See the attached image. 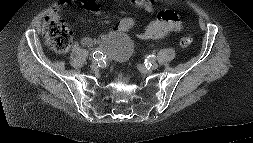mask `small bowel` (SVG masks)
Segmentation results:
<instances>
[{
    "instance_id": "small-bowel-1",
    "label": "small bowel",
    "mask_w": 253,
    "mask_h": 143,
    "mask_svg": "<svg viewBox=\"0 0 253 143\" xmlns=\"http://www.w3.org/2000/svg\"><path fill=\"white\" fill-rule=\"evenodd\" d=\"M158 0H131L136 6L148 13H153V4ZM82 3L84 8L88 11H95L98 0H61L59 5L50 11V18L58 19L60 7L64 4ZM135 25V20L131 17H124L120 19L116 26L107 33L99 34L95 37H83L80 41L84 47H91L96 44L106 42L110 37L129 31ZM182 28L180 18L176 12L170 9L162 10L155 19L148 22L144 29L139 32L138 37L141 40H152L162 38L172 32H179ZM129 56V51L122 50L119 53L120 59H126Z\"/></svg>"
}]
</instances>
